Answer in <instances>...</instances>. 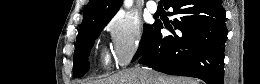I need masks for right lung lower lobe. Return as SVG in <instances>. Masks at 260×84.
<instances>
[{
  "label": "right lung lower lobe",
  "mask_w": 260,
  "mask_h": 84,
  "mask_svg": "<svg viewBox=\"0 0 260 84\" xmlns=\"http://www.w3.org/2000/svg\"><path fill=\"white\" fill-rule=\"evenodd\" d=\"M176 15L178 34L162 36L155 24L150 46L139 63L166 74L200 78L207 84H223L227 38L225 11L220 0H165Z\"/></svg>",
  "instance_id": "1"
}]
</instances>
